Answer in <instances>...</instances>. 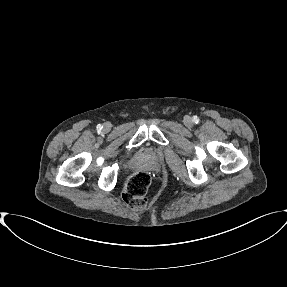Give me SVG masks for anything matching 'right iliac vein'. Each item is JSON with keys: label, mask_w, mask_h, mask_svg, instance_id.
<instances>
[{"label": "right iliac vein", "mask_w": 287, "mask_h": 287, "mask_svg": "<svg viewBox=\"0 0 287 287\" xmlns=\"http://www.w3.org/2000/svg\"><path fill=\"white\" fill-rule=\"evenodd\" d=\"M104 127H105L106 129H108V128H109V125H108V124H105Z\"/></svg>", "instance_id": "1"}]
</instances>
